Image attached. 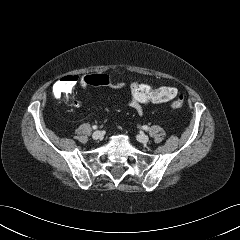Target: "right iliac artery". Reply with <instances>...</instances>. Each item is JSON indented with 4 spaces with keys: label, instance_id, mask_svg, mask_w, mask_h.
Wrapping results in <instances>:
<instances>
[{
    "label": "right iliac artery",
    "instance_id": "right-iliac-artery-1",
    "mask_svg": "<svg viewBox=\"0 0 240 240\" xmlns=\"http://www.w3.org/2000/svg\"><path fill=\"white\" fill-rule=\"evenodd\" d=\"M97 128H98V126H97V125H94V126H93V129H94V130H95V129H97Z\"/></svg>",
    "mask_w": 240,
    "mask_h": 240
}]
</instances>
